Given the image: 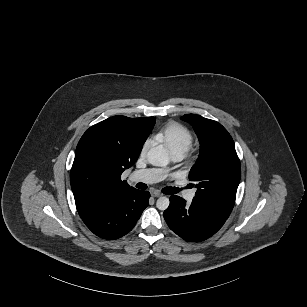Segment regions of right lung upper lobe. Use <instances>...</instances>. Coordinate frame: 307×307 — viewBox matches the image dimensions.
Wrapping results in <instances>:
<instances>
[{
	"mask_svg": "<svg viewBox=\"0 0 307 307\" xmlns=\"http://www.w3.org/2000/svg\"><path fill=\"white\" fill-rule=\"evenodd\" d=\"M154 123L155 117L113 116L83 134L70 173L78 212L133 188L121 174L137 161Z\"/></svg>",
	"mask_w": 307,
	"mask_h": 307,
	"instance_id": "cb5924a9",
	"label": "right lung upper lobe"
}]
</instances>
